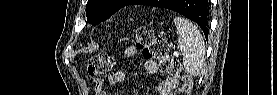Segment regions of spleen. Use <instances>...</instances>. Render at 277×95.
I'll return each instance as SVG.
<instances>
[{
  "label": "spleen",
  "instance_id": "obj_1",
  "mask_svg": "<svg viewBox=\"0 0 277 95\" xmlns=\"http://www.w3.org/2000/svg\"><path fill=\"white\" fill-rule=\"evenodd\" d=\"M178 34V47L183 55L185 71L198 75L204 66L205 44L197 27L182 17L174 19Z\"/></svg>",
  "mask_w": 277,
  "mask_h": 95
}]
</instances>
